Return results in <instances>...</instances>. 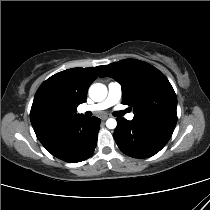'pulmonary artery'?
<instances>
[{"label":"pulmonary artery","mask_w":210,"mask_h":210,"mask_svg":"<svg viewBox=\"0 0 210 210\" xmlns=\"http://www.w3.org/2000/svg\"><path fill=\"white\" fill-rule=\"evenodd\" d=\"M122 96V88L121 85L118 82H111L108 85V94L107 97L97 103V104H93V105H86L80 108V112L84 113V112H100L102 110H105L113 105H115ZM126 118L128 120H132L134 118V114L133 113H129L126 115Z\"/></svg>","instance_id":"pulmonary-artery-1"}]
</instances>
